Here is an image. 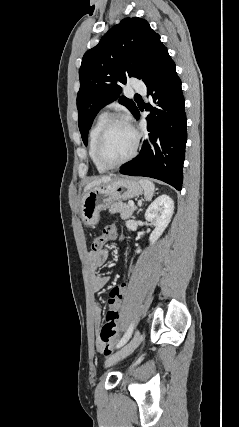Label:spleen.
<instances>
[{
	"mask_svg": "<svg viewBox=\"0 0 239 427\" xmlns=\"http://www.w3.org/2000/svg\"><path fill=\"white\" fill-rule=\"evenodd\" d=\"M139 183L141 184V186L144 190L145 200L150 201L152 199L154 191H155L154 183L148 179H140Z\"/></svg>",
	"mask_w": 239,
	"mask_h": 427,
	"instance_id": "obj_1",
	"label": "spleen"
}]
</instances>
